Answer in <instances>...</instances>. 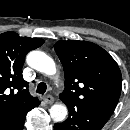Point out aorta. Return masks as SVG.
Returning a JSON list of instances; mask_svg holds the SVG:
<instances>
[{
    "label": "aorta",
    "instance_id": "aorta-1",
    "mask_svg": "<svg viewBox=\"0 0 130 130\" xmlns=\"http://www.w3.org/2000/svg\"><path fill=\"white\" fill-rule=\"evenodd\" d=\"M27 64L33 69L46 75L56 74V65L51 57L41 51H31L26 57ZM50 116L55 122H61L67 115V107L63 104H55L50 110Z\"/></svg>",
    "mask_w": 130,
    "mask_h": 130
}]
</instances>
